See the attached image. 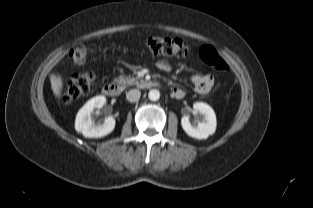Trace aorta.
Instances as JSON below:
<instances>
[{
  "mask_svg": "<svg viewBox=\"0 0 313 208\" xmlns=\"http://www.w3.org/2000/svg\"><path fill=\"white\" fill-rule=\"evenodd\" d=\"M148 97L151 101H157L160 98V92L156 89H152L149 91Z\"/></svg>",
  "mask_w": 313,
  "mask_h": 208,
  "instance_id": "1",
  "label": "aorta"
}]
</instances>
